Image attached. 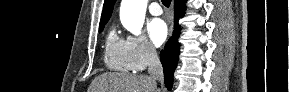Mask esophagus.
I'll use <instances>...</instances> for the list:
<instances>
[{
	"instance_id": "34e87169",
	"label": "esophagus",
	"mask_w": 289,
	"mask_h": 92,
	"mask_svg": "<svg viewBox=\"0 0 289 92\" xmlns=\"http://www.w3.org/2000/svg\"><path fill=\"white\" fill-rule=\"evenodd\" d=\"M172 34V28L170 29V35Z\"/></svg>"
}]
</instances>
